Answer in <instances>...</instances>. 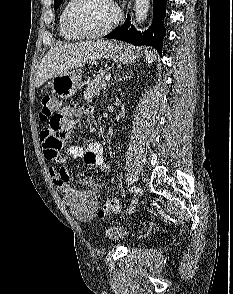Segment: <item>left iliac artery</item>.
<instances>
[{
  "label": "left iliac artery",
  "instance_id": "44dca946",
  "mask_svg": "<svg viewBox=\"0 0 233 294\" xmlns=\"http://www.w3.org/2000/svg\"><path fill=\"white\" fill-rule=\"evenodd\" d=\"M131 192H135V193H139V194H142V190L138 187H131L130 189Z\"/></svg>",
  "mask_w": 233,
  "mask_h": 294
}]
</instances>
